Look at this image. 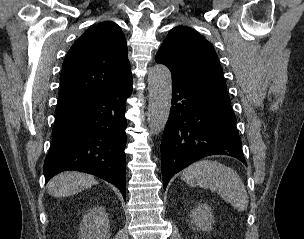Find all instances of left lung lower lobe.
<instances>
[{"instance_id":"obj_1","label":"left lung lower lobe","mask_w":304,"mask_h":239,"mask_svg":"<svg viewBox=\"0 0 304 239\" xmlns=\"http://www.w3.org/2000/svg\"><path fill=\"white\" fill-rule=\"evenodd\" d=\"M216 154L233 156L247 165L231 103L173 80L172 107L161 142L164 190L174 174Z\"/></svg>"}]
</instances>
